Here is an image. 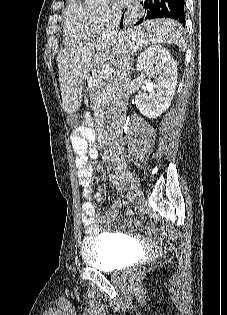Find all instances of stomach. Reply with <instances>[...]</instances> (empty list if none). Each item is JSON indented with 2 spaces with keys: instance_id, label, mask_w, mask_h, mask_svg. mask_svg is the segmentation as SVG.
<instances>
[{
  "instance_id": "obj_1",
  "label": "stomach",
  "mask_w": 227,
  "mask_h": 315,
  "mask_svg": "<svg viewBox=\"0 0 227 315\" xmlns=\"http://www.w3.org/2000/svg\"><path fill=\"white\" fill-rule=\"evenodd\" d=\"M98 71H88L87 75H84L83 80L81 82L83 91H93L94 86L92 84L94 78H98ZM72 122V118L70 119Z\"/></svg>"
}]
</instances>
